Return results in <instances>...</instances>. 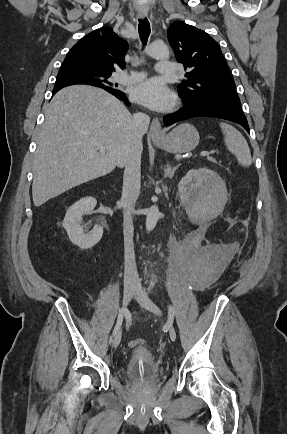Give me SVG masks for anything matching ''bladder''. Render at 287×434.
I'll return each instance as SVG.
<instances>
[{
	"label": "bladder",
	"mask_w": 287,
	"mask_h": 434,
	"mask_svg": "<svg viewBox=\"0 0 287 434\" xmlns=\"http://www.w3.org/2000/svg\"><path fill=\"white\" fill-rule=\"evenodd\" d=\"M121 374L128 380H153L159 375V364L149 352H135Z\"/></svg>",
	"instance_id": "bladder-1"
}]
</instances>
